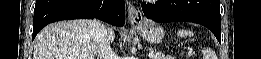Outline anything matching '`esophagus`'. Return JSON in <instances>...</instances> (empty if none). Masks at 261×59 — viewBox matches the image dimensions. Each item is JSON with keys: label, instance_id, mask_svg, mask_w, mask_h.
Masks as SVG:
<instances>
[{"label": "esophagus", "instance_id": "esophagus-1", "mask_svg": "<svg viewBox=\"0 0 261 59\" xmlns=\"http://www.w3.org/2000/svg\"><path fill=\"white\" fill-rule=\"evenodd\" d=\"M127 10H128V19L131 25L138 26L143 23L144 17L142 12L136 9L131 2L128 3Z\"/></svg>", "mask_w": 261, "mask_h": 59}]
</instances>
